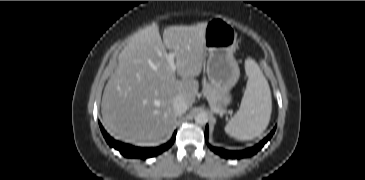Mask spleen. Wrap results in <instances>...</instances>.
<instances>
[{"mask_svg": "<svg viewBox=\"0 0 365 180\" xmlns=\"http://www.w3.org/2000/svg\"><path fill=\"white\" fill-rule=\"evenodd\" d=\"M246 89L237 113L225 126V132L238 140H251L267 128L271 112V91L262 70L252 58L245 61Z\"/></svg>", "mask_w": 365, "mask_h": 180, "instance_id": "1", "label": "spleen"}]
</instances>
